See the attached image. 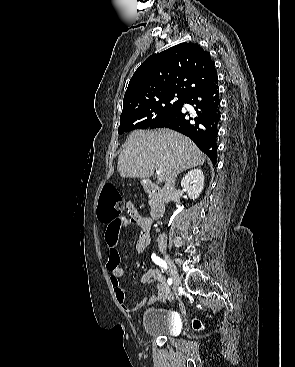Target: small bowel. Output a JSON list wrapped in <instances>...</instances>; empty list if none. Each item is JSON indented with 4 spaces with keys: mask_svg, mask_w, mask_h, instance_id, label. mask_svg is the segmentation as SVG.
Listing matches in <instances>:
<instances>
[{
    "mask_svg": "<svg viewBox=\"0 0 295 367\" xmlns=\"http://www.w3.org/2000/svg\"><path fill=\"white\" fill-rule=\"evenodd\" d=\"M127 217H119L116 220L106 223L104 239L109 250V257L106 264L107 270L110 272V283L112 285L115 297L119 305L129 313L136 311L145 303L151 305L162 301L169 296V289L165 283L163 275L157 269H149L140 278V284L145 286L151 282L156 283L154 293L148 298L136 305H129L126 299L124 288L120 283V279L124 274L121 266V255L118 249L119 236L121 229L129 224L136 225L140 228V232L136 241V250L143 252L151 241V230L153 220L139 213L137 208L130 202L125 204Z\"/></svg>",
    "mask_w": 295,
    "mask_h": 367,
    "instance_id": "1",
    "label": "small bowel"
}]
</instances>
